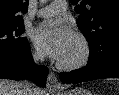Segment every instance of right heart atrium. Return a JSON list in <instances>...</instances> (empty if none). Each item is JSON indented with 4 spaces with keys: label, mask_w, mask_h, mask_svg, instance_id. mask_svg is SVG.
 I'll list each match as a JSON object with an SVG mask.
<instances>
[{
    "label": "right heart atrium",
    "mask_w": 119,
    "mask_h": 95,
    "mask_svg": "<svg viewBox=\"0 0 119 95\" xmlns=\"http://www.w3.org/2000/svg\"><path fill=\"white\" fill-rule=\"evenodd\" d=\"M33 57L37 60H40L43 58V54L39 49L36 48L33 50Z\"/></svg>",
    "instance_id": "1"
}]
</instances>
